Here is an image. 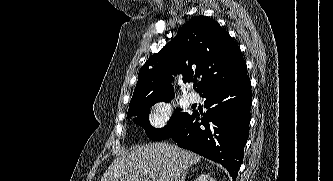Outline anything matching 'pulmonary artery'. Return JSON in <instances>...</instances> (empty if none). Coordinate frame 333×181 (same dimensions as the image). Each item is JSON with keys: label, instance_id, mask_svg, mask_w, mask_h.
<instances>
[{"label": "pulmonary artery", "instance_id": "obj_1", "mask_svg": "<svg viewBox=\"0 0 333 181\" xmlns=\"http://www.w3.org/2000/svg\"><path fill=\"white\" fill-rule=\"evenodd\" d=\"M187 99L190 103H195L198 101V96L195 93H189Z\"/></svg>", "mask_w": 333, "mask_h": 181}]
</instances>
